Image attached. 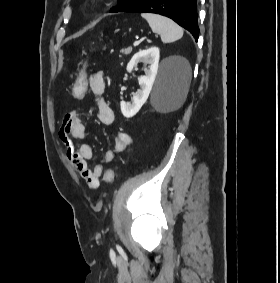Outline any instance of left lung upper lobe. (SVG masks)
<instances>
[{
  "label": "left lung upper lobe",
  "mask_w": 280,
  "mask_h": 283,
  "mask_svg": "<svg viewBox=\"0 0 280 283\" xmlns=\"http://www.w3.org/2000/svg\"><path fill=\"white\" fill-rule=\"evenodd\" d=\"M137 0H118V3L113 7L110 12H123L128 7L133 5Z\"/></svg>",
  "instance_id": "5c2ea615"
}]
</instances>
